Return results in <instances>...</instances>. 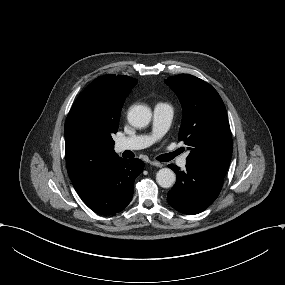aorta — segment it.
I'll return each mask as SVG.
<instances>
[{"label":"aorta","instance_id":"1","mask_svg":"<svg viewBox=\"0 0 285 285\" xmlns=\"http://www.w3.org/2000/svg\"><path fill=\"white\" fill-rule=\"evenodd\" d=\"M127 117L132 126L143 128L150 123L152 113L149 107L136 105L129 110ZM156 181L161 187L170 188L176 182V175L171 169L162 168L156 174Z\"/></svg>","mask_w":285,"mask_h":285}]
</instances>
